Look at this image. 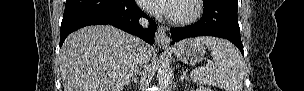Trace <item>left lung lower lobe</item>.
<instances>
[{"label":"left lung lower lobe","mask_w":304,"mask_h":91,"mask_svg":"<svg viewBox=\"0 0 304 91\" xmlns=\"http://www.w3.org/2000/svg\"><path fill=\"white\" fill-rule=\"evenodd\" d=\"M202 18L189 26L171 28L172 43L196 36H215L228 39L244 55L238 24V0H208L203 2Z\"/></svg>","instance_id":"0a47b994"}]
</instances>
